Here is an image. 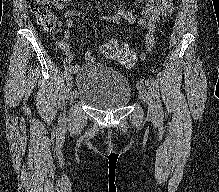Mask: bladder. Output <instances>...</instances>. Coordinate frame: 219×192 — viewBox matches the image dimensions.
Listing matches in <instances>:
<instances>
[{
	"instance_id": "obj_1",
	"label": "bladder",
	"mask_w": 219,
	"mask_h": 192,
	"mask_svg": "<svg viewBox=\"0 0 219 192\" xmlns=\"http://www.w3.org/2000/svg\"><path fill=\"white\" fill-rule=\"evenodd\" d=\"M78 100L95 110H117L128 106L132 88L126 77L98 62L81 66L76 74Z\"/></svg>"
}]
</instances>
